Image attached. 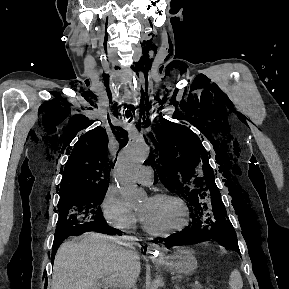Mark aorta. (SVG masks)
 Returning <instances> with one entry per match:
<instances>
[{
  "mask_svg": "<svg viewBox=\"0 0 289 289\" xmlns=\"http://www.w3.org/2000/svg\"><path fill=\"white\" fill-rule=\"evenodd\" d=\"M149 156L146 143L134 138L120 151L115 165V180L125 203L132 208L138 207L147 198L144 190L137 187L133 176Z\"/></svg>",
  "mask_w": 289,
  "mask_h": 289,
  "instance_id": "1",
  "label": "aorta"
}]
</instances>
